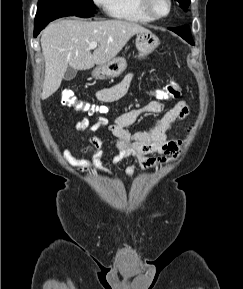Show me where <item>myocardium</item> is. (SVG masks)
Wrapping results in <instances>:
<instances>
[{
	"label": "myocardium",
	"mask_w": 243,
	"mask_h": 289,
	"mask_svg": "<svg viewBox=\"0 0 243 289\" xmlns=\"http://www.w3.org/2000/svg\"><path fill=\"white\" fill-rule=\"evenodd\" d=\"M167 2H168V11L165 14H163V15H157L152 10L151 0H139L140 7H141L142 11L147 16L152 18L153 20L163 19V18H166L167 16L170 15V13L172 11V8H173V2H172V0H167Z\"/></svg>",
	"instance_id": "myocardium-1"
}]
</instances>
